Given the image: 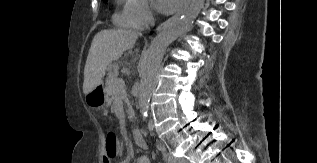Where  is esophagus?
I'll return each mask as SVG.
<instances>
[{
	"instance_id": "esophagus-1",
	"label": "esophagus",
	"mask_w": 317,
	"mask_h": 163,
	"mask_svg": "<svg viewBox=\"0 0 317 163\" xmlns=\"http://www.w3.org/2000/svg\"><path fill=\"white\" fill-rule=\"evenodd\" d=\"M191 0H186L185 4L183 7L172 17H170L168 20L165 22L161 23L157 28H156V33L160 32L164 28H166L170 23H172L174 20H176L189 6Z\"/></svg>"
}]
</instances>
